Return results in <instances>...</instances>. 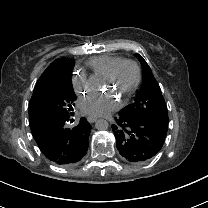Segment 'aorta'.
Masks as SVG:
<instances>
[{"instance_id": "762f6f07", "label": "aorta", "mask_w": 208, "mask_h": 208, "mask_svg": "<svg viewBox=\"0 0 208 208\" xmlns=\"http://www.w3.org/2000/svg\"><path fill=\"white\" fill-rule=\"evenodd\" d=\"M95 128L98 130H106L108 128V122L105 119H98L95 122Z\"/></svg>"}]
</instances>
